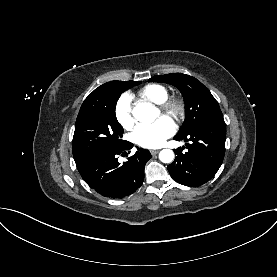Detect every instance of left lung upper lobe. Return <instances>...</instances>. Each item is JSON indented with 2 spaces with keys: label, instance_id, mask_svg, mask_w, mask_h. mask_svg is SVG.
<instances>
[{
  "label": "left lung upper lobe",
  "instance_id": "obj_1",
  "mask_svg": "<svg viewBox=\"0 0 277 277\" xmlns=\"http://www.w3.org/2000/svg\"><path fill=\"white\" fill-rule=\"evenodd\" d=\"M148 81L174 85L184 96L186 103V118L182 128L176 136L187 135L205 119L222 114L218 102L210 91L192 76L182 73H172L157 75L150 78Z\"/></svg>",
  "mask_w": 277,
  "mask_h": 277
}]
</instances>
